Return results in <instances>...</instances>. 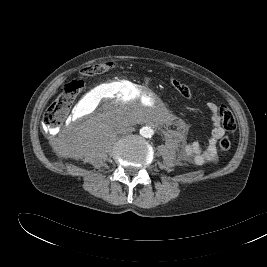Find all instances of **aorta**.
<instances>
[{"mask_svg":"<svg viewBox=\"0 0 267 267\" xmlns=\"http://www.w3.org/2000/svg\"><path fill=\"white\" fill-rule=\"evenodd\" d=\"M140 134L145 138H150L153 136L154 131L151 127L145 126L140 130Z\"/></svg>","mask_w":267,"mask_h":267,"instance_id":"aorta-1","label":"aorta"}]
</instances>
